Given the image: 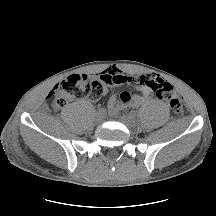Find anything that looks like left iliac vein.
Masks as SVG:
<instances>
[{"label":"left iliac vein","instance_id":"4c4485c4","mask_svg":"<svg viewBox=\"0 0 216 216\" xmlns=\"http://www.w3.org/2000/svg\"><path fill=\"white\" fill-rule=\"evenodd\" d=\"M120 121L129 129H133L136 126L135 118L131 115H123L120 117Z\"/></svg>","mask_w":216,"mask_h":216}]
</instances>
